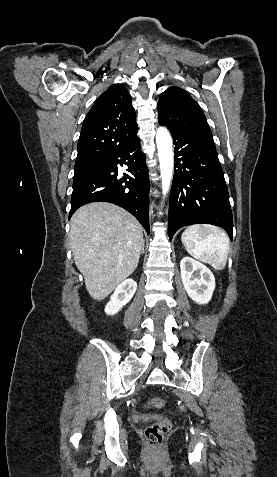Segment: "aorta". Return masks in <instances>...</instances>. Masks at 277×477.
Returning <instances> with one entry per match:
<instances>
[{"mask_svg": "<svg viewBox=\"0 0 277 477\" xmlns=\"http://www.w3.org/2000/svg\"><path fill=\"white\" fill-rule=\"evenodd\" d=\"M156 144L160 163L162 192L165 195L170 188L174 165L172 140L165 127H159L157 129Z\"/></svg>", "mask_w": 277, "mask_h": 477, "instance_id": "762f6f07", "label": "aorta"}]
</instances>
